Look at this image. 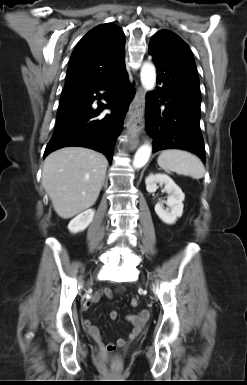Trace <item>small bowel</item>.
Wrapping results in <instances>:
<instances>
[{
    "label": "small bowel",
    "mask_w": 247,
    "mask_h": 385,
    "mask_svg": "<svg viewBox=\"0 0 247 385\" xmlns=\"http://www.w3.org/2000/svg\"><path fill=\"white\" fill-rule=\"evenodd\" d=\"M104 295L108 298L112 297V291L110 289H104L101 292L93 295L90 299L86 300L82 306L84 310L89 308V306L93 303H96L99 301L101 296ZM118 316V313L116 310H112L109 313V317L112 320H115ZM150 316V313L148 310H142L137 314H128L126 316V320L132 325V330L128 333V335L125 338H120L116 341L115 345L122 347L127 344V342L135 339L142 331L143 327L145 326L148 318ZM83 326L88 331L90 336L95 340V342L101 346L104 349H107L109 345L114 346V344H105L101 333L97 326H95L89 319L83 320Z\"/></svg>",
    "instance_id": "1"
}]
</instances>
